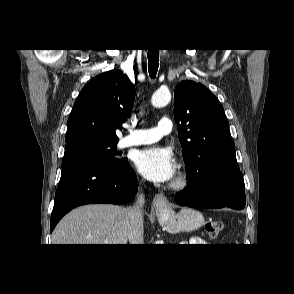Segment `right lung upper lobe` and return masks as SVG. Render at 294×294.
<instances>
[{
  "instance_id": "obj_1",
  "label": "right lung upper lobe",
  "mask_w": 294,
  "mask_h": 294,
  "mask_svg": "<svg viewBox=\"0 0 294 294\" xmlns=\"http://www.w3.org/2000/svg\"><path fill=\"white\" fill-rule=\"evenodd\" d=\"M135 88L128 76L111 70L94 77L81 90L68 118L66 144L95 139L118 142L115 133L131 114Z\"/></svg>"
}]
</instances>
